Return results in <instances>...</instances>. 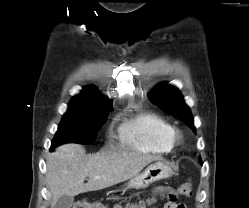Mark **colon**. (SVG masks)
Returning a JSON list of instances; mask_svg holds the SVG:
<instances>
[{
  "label": "colon",
  "instance_id": "1",
  "mask_svg": "<svg viewBox=\"0 0 249 208\" xmlns=\"http://www.w3.org/2000/svg\"><path fill=\"white\" fill-rule=\"evenodd\" d=\"M192 185L190 182H186L182 184L178 189L177 193L183 196H189L191 194ZM148 201H136V202H128L125 205L122 204H114L111 207L101 203V202H89V201H79L77 202L73 208H146L148 205ZM181 208H186L185 205H181Z\"/></svg>",
  "mask_w": 249,
  "mask_h": 208
}]
</instances>
